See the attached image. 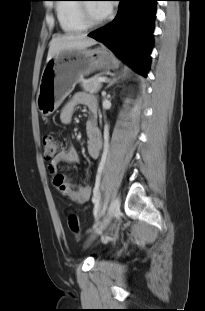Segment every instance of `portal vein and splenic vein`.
<instances>
[{"instance_id": "obj_1", "label": "portal vein and splenic vein", "mask_w": 205, "mask_h": 311, "mask_svg": "<svg viewBox=\"0 0 205 311\" xmlns=\"http://www.w3.org/2000/svg\"><path fill=\"white\" fill-rule=\"evenodd\" d=\"M108 79L106 77H99L97 79L98 82H106Z\"/></svg>"}]
</instances>
